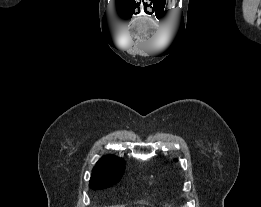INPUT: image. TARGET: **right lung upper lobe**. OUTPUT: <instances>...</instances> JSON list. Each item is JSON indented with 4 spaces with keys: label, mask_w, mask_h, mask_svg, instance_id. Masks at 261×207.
<instances>
[{
    "label": "right lung upper lobe",
    "mask_w": 261,
    "mask_h": 207,
    "mask_svg": "<svg viewBox=\"0 0 261 207\" xmlns=\"http://www.w3.org/2000/svg\"><path fill=\"white\" fill-rule=\"evenodd\" d=\"M121 162H124V160L114 157L113 155L104 156L96 163V166L94 168L113 167L114 165L119 164Z\"/></svg>",
    "instance_id": "right-lung-upper-lobe-1"
}]
</instances>
